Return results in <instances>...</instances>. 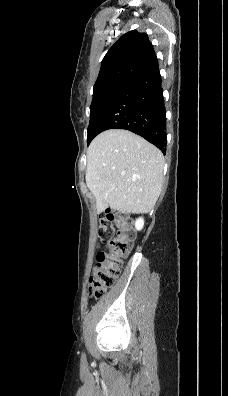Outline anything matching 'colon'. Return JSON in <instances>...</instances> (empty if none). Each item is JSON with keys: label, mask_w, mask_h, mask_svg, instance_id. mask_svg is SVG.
<instances>
[{"label": "colon", "mask_w": 228, "mask_h": 396, "mask_svg": "<svg viewBox=\"0 0 228 396\" xmlns=\"http://www.w3.org/2000/svg\"><path fill=\"white\" fill-rule=\"evenodd\" d=\"M99 236L104 246L89 278V294L95 299L115 283L123 258L130 252L134 233L118 213L107 210L100 221Z\"/></svg>", "instance_id": "colon-1"}]
</instances>
